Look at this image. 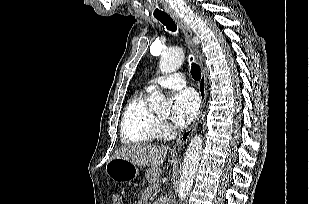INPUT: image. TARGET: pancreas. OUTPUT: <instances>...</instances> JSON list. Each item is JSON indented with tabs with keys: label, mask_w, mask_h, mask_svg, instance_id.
Segmentation results:
<instances>
[{
	"label": "pancreas",
	"mask_w": 309,
	"mask_h": 204,
	"mask_svg": "<svg viewBox=\"0 0 309 204\" xmlns=\"http://www.w3.org/2000/svg\"><path fill=\"white\" fill-rule=\"evenodd\" d=\"M159 176L160 169L158 167H150L145 171V177L155 191L159 187Z\"/></svg>",
	"instance_id": "pancreas-1"
}]
</instances>
